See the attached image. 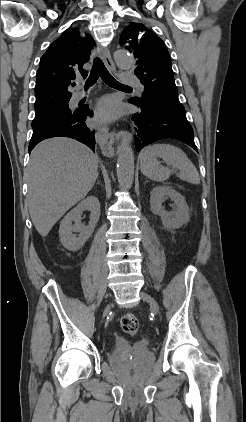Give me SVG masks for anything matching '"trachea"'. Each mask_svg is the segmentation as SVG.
Listing matches in <instances>:
<instances>
[{
  "label": "trachea",
  "mask_w": 246,
  "mask_h": 422,
  "mask_svg": "<svg viewBox=\"0 0 246 422\" xmlns=\"http://www.w3.org/2000/svg\"><path fill=\"white\" fill-rule=\"evenodd\" d=\"M101 77V79L111 87H128L126 85L121 84L117 80L113 78V76L108 72L106 67L104 66L103 62L96 57L93 61V66L90 72V75L85 83V88L91 87L96 83L98 78Z\"/></svg>",
  "instance_id": "1"
}]
</instances>
